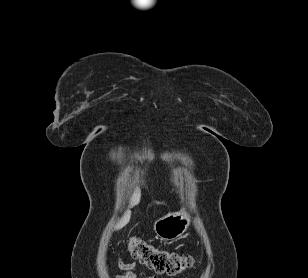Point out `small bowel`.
Returning <instances> with one entry per match:
<instances>
[{
  "instance_id": "c3829d8e",
  "label": "small bowel",
  "mask_w": 308,
  "mask_h": 278,
  "mask_svg": "<svg viewBox=\"0 0 308 278\" xmlns=\"http://www.w3.org/2000/svg\"><path fill=\"white\" fill-rule=\"evenodd\" d=\"M117 267L121 271V274L116 278H137L135 269L137 268L136 263H125L121 259L117 260ZM148 278H156V276H150Z\"/></svg>"
}]
</instances>
